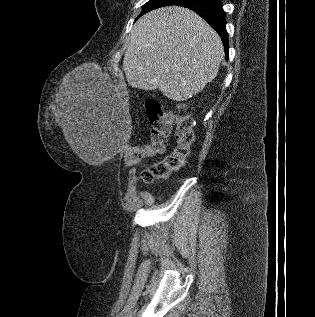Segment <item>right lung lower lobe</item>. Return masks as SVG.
Returning <instances> with one entry per match:
<instances>
[{"mask_svg":"<svg viewBox=\"0 0 315 317\" xmlns=\"http://www.w3.org/2000/svg\"><path fill=\"white\" fill-rule=\"evenodd\" d=\"M173 5L189 8L200 15L219 34L223 41L228 60V34L226 32L225 13L219 0H179Z\"/></svg>","mask_w":315,"mask_h":317,"instance_id":"obj_1","label":"right lung lower lobe"}]
</instances>
